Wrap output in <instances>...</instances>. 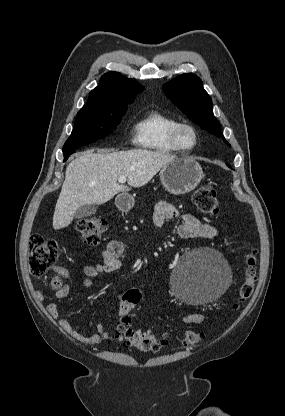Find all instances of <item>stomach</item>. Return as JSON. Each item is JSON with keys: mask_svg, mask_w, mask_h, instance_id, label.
Here are the masks:
<instances>
[{"mask_svg": "<svg viewBox=\"0 0 285 416\" xmlns=\"http://www.w3.org/2000/svg\"><path fill=\"white\" fill-rule=\"evenodd\" d=\"M203 178V170L192 158H177L163 166L161 184L170 194H188L197 188Z\"/></svg>", "mask_w": 285, "mask_h": 416, "instance_id": "obj_1", "label": "stomach"}]
</instances>
